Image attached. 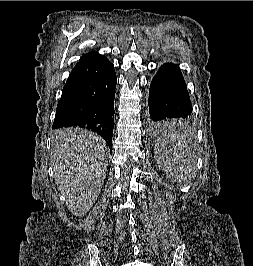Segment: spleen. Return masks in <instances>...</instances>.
I'll use <instances>...</instances> for the list:
<instances>
[{"mask_svg":"<svg viewBox=\"0 0 253 266\" xmlns=\"http://www.w3.org/2000/svg\"><path fill=\"white\" fill-rule=\"evenodd\" d=\"M158 138L169 141H155L154 150L159 162L167 165L169 177L179 180L183 174H190V165H182L186 157L187 145L178 139L184 138L186 123H159Z\"/></svg>","mask_w":253,"mask_h":266,"instance_id":"1","label":"spleen"}]
</instances>
